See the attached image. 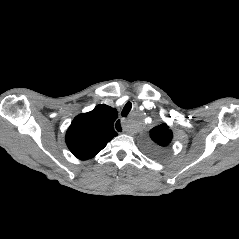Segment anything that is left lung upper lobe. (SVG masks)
Masks as SVG:
<instances>
[{"label":"left lung upper lobe","mask_w":239,"mask_h":239,"mask_svg":"<svg viewBox=\"0 0 239 239\" xmlns=\"http://www.w3.org/2000/svg\"><path fill=\"white\" fill-rule=\"evenodd\" d=\"M151 139L160 147H166L172 140V131L169 127L163 123L159 126L154 127L150 131ZM152 155H156V151L149 150Z\"/></svg>","instance_id":"5c2ea615"}]
</instances>
